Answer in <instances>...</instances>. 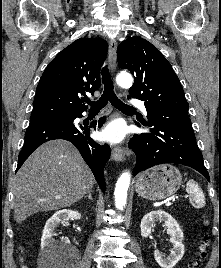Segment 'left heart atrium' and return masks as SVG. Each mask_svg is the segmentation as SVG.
<instances>
[{
	"mask_svg": "<svg viewBox=\"0 0 221 268\" xmlns=\"http://www.w3.org/2000/svg\"><path fill=\"white\" fill-rule=\"evenodd\" d=\"M99 138L110 143H118L124 138V127L118 121L108 123L99 133Z\"/></svg>",
	"mask_w": 221,
	"mask_h": 268,
	"instance_id": "obj_1",
	"label": "left heart atrium"
}]
</instances>
